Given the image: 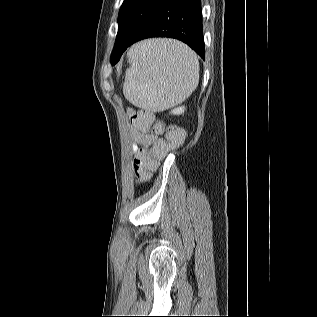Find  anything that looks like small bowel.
Here are the masks:
<instances>
[{"label":"small bowel","instance_id":"obj_1","mask_svg":"<svg viewBox=\"0 0 317 317\" xmlns=\"http://www.w3.org/2000/svg\"><path fill=\"white\" fill-rule=\"evenodd\" d=\"M131 119L134 114L133 110L128 111ZM132 123V122H131ZM133 137L135 145L133 147L134 152L138 155L142 151H147L156 141L157 137L153 134H145L135 128L132 124Z\"/></svg>","mask_w":317,"mask_h":317}]
</instances>
